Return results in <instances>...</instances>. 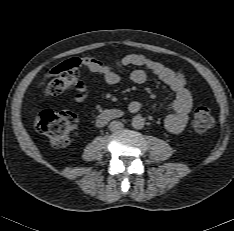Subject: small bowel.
<instances>
[{
	"label": "small bowel",
	"instance_id": "1",
	"mask_svg": "<svg viewBox=\"0 0 234 231\" xmlns=\"http://www.w3.org/2000/svg\"><path fill=\"white\" fill-rule=\"evenodd\" d=\"M84 64L88 69L96 73L106 84L117 85L120 82V76L115 69L127 66H142L147 68L161 82L167 85L175 92V99L166 104V108L170 113L164 119V126L171 134H181L184 132L188 115L192 109L193 99L191 92L187 88L186 79L182 72L173 70L166 65L152 60L141 54H129L111 63H102L95 58H85ZM59 66L53 68L46 76L45 81L56 74ZM132 82L142 84L147 81L148 74L142 69L133 70L130 74ZM75 101L81 103L88 97V89L84 82L77 81L75 84ZM143 108V104L139 101H132L128 105V109L132 113H137Z\"/></svg>",
	"mask_w": 234,
	"mask_h": 231
}]
</instances>
